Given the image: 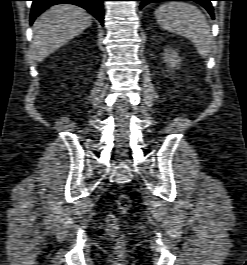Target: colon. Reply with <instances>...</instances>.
Masks as SVG:
<instances>
[{
	"instance_id": "colon-1",
	"label": "colon",
	"mask_w": 247,
	"mask_h": 265,
	"mask_svg": "<svg viewBox=\"0 0 247 265\" xmlns=\"http://www.w3.org/2000/svg\"><path fill=\"white\" fill-rule=\"evenodd\" d=\"M116 204L120 212L127 213L132 206V201L128 195L121 194L118 196ZM125 248L126 242L124 239L119 240L115 246L117 252H123Z\"/></svg>"
}]
</instances>
